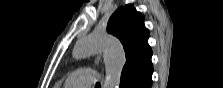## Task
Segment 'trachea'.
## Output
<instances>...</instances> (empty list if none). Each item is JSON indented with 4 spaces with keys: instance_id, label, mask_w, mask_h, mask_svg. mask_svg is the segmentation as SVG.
<instances>
[{
    "instance_id": "1",
    "label": "trachea",
    "mask_w": 223,
    "mask_h": 88,
    "mask_svg": "<svg viewBox=\"0 0 223 88\" xmlns=\"http://www.w3.org/2000/svg\"><path fill=\"white\" fill-rule=\"evenodd\" d=\"M101 85H100V83H96V87H100Z\"/></svg>"
}]
</instances>
